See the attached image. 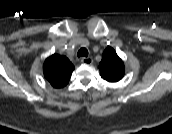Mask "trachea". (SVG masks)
I'll list each match as a JSON object with an SVG mask.
<instances>
[{"instance_id": "1", "label": "trachea", "mask_w": 172, "mask_h": 134, "mask_svg": "<svg viewBox=\"0 0 172 134\" xmlns=\"http://www.w3.org/2000/svg\"><path fill=\"white\" fill-rule=\"evenodd\" d=\"M78 57H87L88 56V50L86 48H81L78 51Z\"/></svg>"}]
</instances>
